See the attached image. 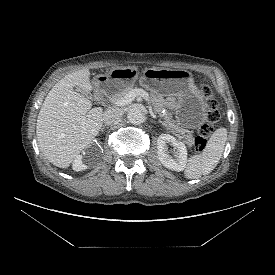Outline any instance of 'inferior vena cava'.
<instances>
[{"instance_id":"602c4592","label":"inferior vena cava","mask_w":275,"mask_h":275,"mask_svg":"<svg viewBox=\"0 0 275 275\" xmlns=\"http://www.w3.org/2000/svg\"><path fill=\"white\" fill-rule=\"evenodd\" d=\"M121 116H122V113L119 109H116V108L108 109L103 114L104 124L108 126L113 125L118 120H120Z\"/></svg>"}]
</instances>
